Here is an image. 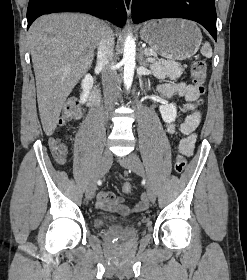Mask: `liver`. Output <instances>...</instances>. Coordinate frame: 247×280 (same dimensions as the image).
Listing matches in <instances>:
<instances>
[{
	"label": "liver",
	"instance_id": "1",
	"mask_svg": "<svg viewBox=\"0 0 247 280\" xmlns=\"http://www.w3.org/2000/svg\"><path fill=\"white\" fill-rule=\"evenodd\" d=\"M102 26L95 17L74 13L43 15L30 26L39 115L47 136L55 131L67 97L91 67Z\"/></svg>",
	"mask_w": 247,
	"mask_h": 280
}]
</instances>
